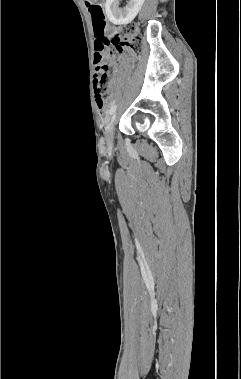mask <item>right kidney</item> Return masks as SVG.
Returning <instances> with one entry per match:
<instances>
[{
	"label": "right kidney",
	"mask_w": 241,
	"mask_h": 379,
	"mask_svg": "<svg viewBox=\"0 0 241 379\" xmlns=\"http://www.w3.org/2000/svg\"><path fill=\"white\" fill-rule=\"evenodd\" d=\"M120 0H106L105 12L114 25H126L132 22L140 11L144 0H129L124 8L119 7Z\"/></svg>",
	"instance_id": "ca27d5eb"
}]
</instances>
